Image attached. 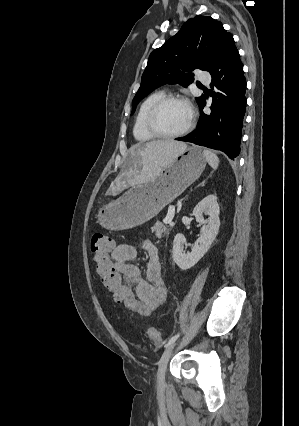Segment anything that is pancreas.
I'll list each match as a JSON object with an SVG mask.
<instances>
[{
	"mask_svg": "<svg viewBox=\"0 0 299 426\" xmlns=\"http://www.w3.org/2000/svg\"><path fill=\"white\" fill-rule=\"evenodd\" d=\"M152 232H155L158 238H161L163 234H169L171 229H168L161 221H157L151 228Z\"/></svg>",
	"mask_w": 299,
	"mask_h": 426,
	"instance_id": "cf45deb5",
	"label": "pancreas"
}]
</instances>
